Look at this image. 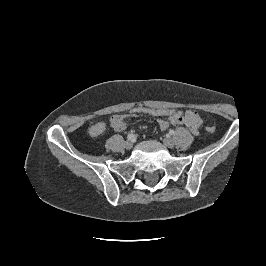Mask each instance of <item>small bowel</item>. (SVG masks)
<instances>
[{"label":"small bowel","mask_w":266,"mask_h":266,"mask_svg":"<svg viewBox=\"0 0 266 266\" xmlns=\"http://www.w3.org/2000/svg\"><path fill=\"white\" fill-rule=\"evenodd\" d=\"M125 118L124 115H114L110 120L111 127L116 131H123L126 128ZM157 123L161 130H166L170 125H184L193 134H197L201 125V118L193 110L177 111L167 119L157 118ZM105 129L106 124L104 122H97L90 127L89 133L91 136L97 137L103 134Z\"/></svg>","instance_id":"c3829d8e"}]
</instances>
